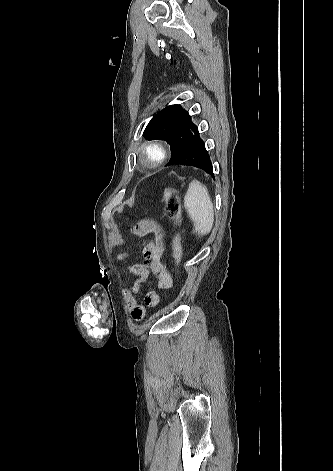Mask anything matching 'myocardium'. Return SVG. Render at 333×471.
Returning <instances> with one entry per match:
<instances>
[{
    "instance_id": "1",
    "label": "myocardium",
    "mask_w": 333,
    "mask_h": 471,
    "mask_svg": "<svg viewBox=\"0 0 333 471\" xmlns=\"http://www.w3.org/2000/svg\"><path fill=\"white\" fill-rule=\"evenodd\" d=\"M162 146L157 143H148L143 150V160L149 167H156L164 159Z\"/></svg>"
}]
</instances>
